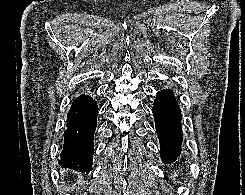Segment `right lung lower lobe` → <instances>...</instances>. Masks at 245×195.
<instances>
[{"label":"right lung lower lobe","mask_w":245,"mask_h":195,"mask_svg":"<svg viewBox=\"0 0 245 195\" xmlns=\"http://www.w3.org/2000/svg\"><path fill=\"white\" fill-rule=\"evenodd\" d=\"M97 115V103L89 95L81 94L73 101L67 114L60 165L86 173L92 169Z\"/></svg>","instance_id":"98d812e1"}]
</instances>
